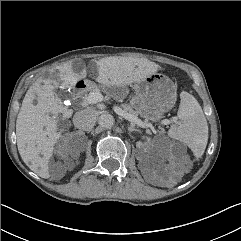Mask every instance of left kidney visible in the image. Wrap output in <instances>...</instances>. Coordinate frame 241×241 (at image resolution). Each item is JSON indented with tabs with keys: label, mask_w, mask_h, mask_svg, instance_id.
Wrapping results in <instances>:
<instances>
[{
	"label": "left kidney",
	"mask_w": 241,
	"mask_h": 241,
	"mask_svg": "<svg viewBox=\"0 0 241 241\" xmlns=\"http://www.w3.org/2000/svg\"><path fill=\"white\" fill-rule=\"evenodd\" d=\"M153 147H155L153 144L152 145L151 144L148 145L147 153H148L149 156H151L152 153L155 152V150H153Z\"/></svg>",
	"instance_id": "left-kidney-1"
}]
</instances>
